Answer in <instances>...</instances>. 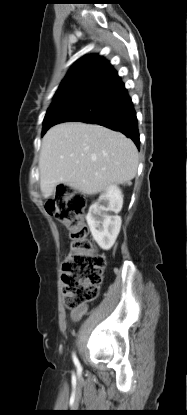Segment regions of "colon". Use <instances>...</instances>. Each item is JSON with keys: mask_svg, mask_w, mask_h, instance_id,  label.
I'll list each match as a JSON object with an SVG mask.
<instances>
[{"mask_svg": "<svg viewBox=\"0 0 187 415\" xmlns=\"http://www.w3.org/2000/svg\"><path fill=\"white\" fill-rule=\"evenodd\" d=\"M85 208V196L68 185H60L46 203L48 213L63 224L70 239L61 281L64 303L72 310L98 296L106 265L105 257L96 252L89 237L84 218Z\"/></svg>", "mask_w": 187, "mask_h": 415, "instance_id": "obj_1", "label": "colon"}]
</instances>
